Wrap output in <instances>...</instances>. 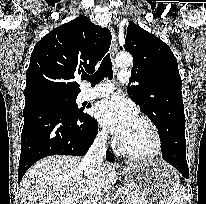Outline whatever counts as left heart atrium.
Here are the masks:
<instances>
[{
    "mask_svg": "<svg viewBox=\"0 0 206 204\" xmlns=\"http://www.w3.org/2000/svg\"><path fill=\"white\" fill-rule=\"evenodd\" d=\"M95 116L121 140L128 135L137 118L134 106L121 95H113L99 102Z\"/></svg>",
    "mask_w": 206,
    "mask_h": 204,
    "instance_id": "left-heart-atrium-1",
    "label": "left heart atrium"
}]
</instances>
